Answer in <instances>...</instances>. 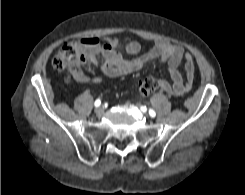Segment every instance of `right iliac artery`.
I'll use <instances>...</instances> for the list:
<instances>
[{"mask_svg":"<svg viewBox=\"0 0 245 195\" xmlns=\"http://www.w3.org/2000/svg\"><path fill=\"white\" fill-rule=\"evenodd\" d=\"M101 104V100L100 99H97L94 103L95 107H99Z\"/></svg>","mask_w":245,"mask_h":195,"instance_id":"1","label":"right iliac artery"}]
</instances>
